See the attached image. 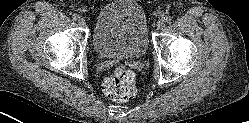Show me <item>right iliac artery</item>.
<instances>
[{
  "label": "right iliac artery",
  "mask_w": 249,
  "mask_h": 123,
  "mask_svg": "<svg viewBox=\"0 0 249 123\" xmlns=\"http://www.w3.org/2000/svg\"><path fill=\"white\" fill-rule=\"evenodd\" d=\"M72 18H73V20H77V19H79V15L75 13V14H73Z\"/></svg>",
  "instance_id": "82829eb1"
}]
</instances>
